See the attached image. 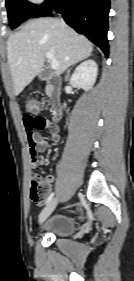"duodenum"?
Instances as JSON below:
<instances>
[{
	"mask_svg": "<svg viewBox=\"0 0 134 281\" xmlns=\"http://www.w3.org/2000/svg\"><path fill=\"white\" fill-rule=\"evenodd\" d=\"M60 83L57 81H50L47 85V92L52 104L54 114L53 119L58 121L60 119L59 104H60Z\"/></svg>",
	"mask_w": 134,
	"mask_h": 281,
	"instance_id": "410a0bca",
	"label": "duodenum"
}]
</instances>
